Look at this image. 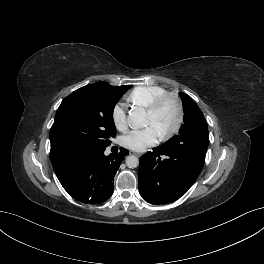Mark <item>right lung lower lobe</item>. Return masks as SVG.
Segmentation results:
<instances>
[{
    "instance_id": "obj_1",
    "label": "right lung lower lobe",
    "mask_w": 264,
    "mask_h": 264,
    "mask_svg": "<svg viewBox=\"0 0 264 264\" xmlns=\"http://www.w3.org/2000/svg\"><path fill=\"white\" fill-rule=\"evenodd\" d=\"M106 147L69 143L52 147L50 159L64 189L76 200L98 204L113 194L114 176L128 150L105 156Z\"/></svg>"
}]
</instances>
